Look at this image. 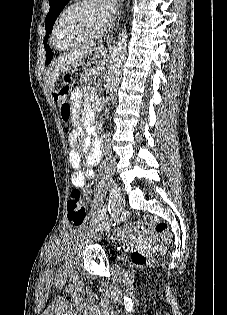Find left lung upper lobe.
Segmentation results:
<instances>
[{"instance_id": "obj_1", "label": "left lung upper lobe", "mask_w": 227, "mask_h": 315, "mask_svg": "<svg viewBox=\"0 0 227 315\" xmlns=\"http://www.w3.org/2000/svg\"><path fill=\"white\" fill-rule=\"evenodd\" d=\"M68 2L69 0H49L50 10L46 16L45 21L46 36L44 39V46L46 49V64L53 58L52 51L47 45V38L49 34L52 32V27L56 18L58 17V15Z\"/></svg>"}]
</instances>
